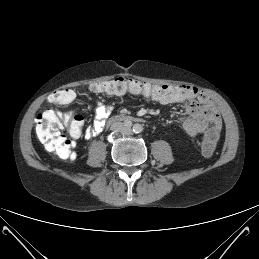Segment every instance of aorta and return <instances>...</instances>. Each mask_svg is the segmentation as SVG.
<instances>
[{"mask_svg": "<svg viewBox=\"0 0 259 259\" xmlns=\"http://www.w3.org/2000/svg\"><path fill=\"white\" fill-rule=\"evenodd\" d=\"M137 128H138V127H134V130H135V131H138V129H137Z\"/></svg>", "mask_w": 259, "mask_h": 259, "instance_id": "762f6f07", "label": "aorta"}]
</instances>
